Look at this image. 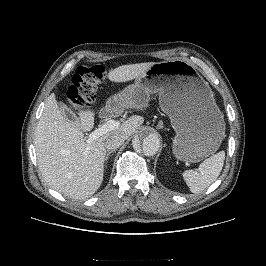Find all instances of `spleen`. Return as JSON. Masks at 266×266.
<instances>
[{
	"instance_id": "obj_1",
	"label": "spleen",
	"mask_w": 266,
	"mask_h": 266,
	"mask_svg": "<svg viewBox=\"0 0 266 266\" xmlns=\"http://www.w3.org/2000/svg\"><path fill=\"white\" fill-rule=\"evenodd\" d=\"M225 159V152L220 151L205 159L197 170H186L183 178L192 193H199L208 188L219 176Z\"/></svg>"
}]
</instances>
